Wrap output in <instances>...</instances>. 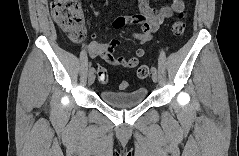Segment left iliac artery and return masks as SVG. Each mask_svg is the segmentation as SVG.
I'll return each instance as SVG.
<instances>
[{"label": "left iliac artery", "mask_w": 239, "mask_h": 156, "mask_svg": "<svg viewBox=\"0 0 239 156\" xmlns=\"http://www.w3.org/2000/svg\"><path fill=\"white\" fill-rule=\"evenodd\" d=\"M151 72H157V69H156V67H151Z\"/></svg>", "instance_id": "44dca946"}]
</instances>
